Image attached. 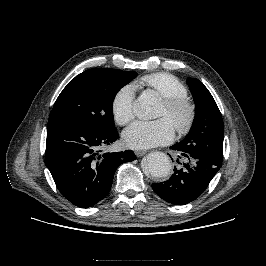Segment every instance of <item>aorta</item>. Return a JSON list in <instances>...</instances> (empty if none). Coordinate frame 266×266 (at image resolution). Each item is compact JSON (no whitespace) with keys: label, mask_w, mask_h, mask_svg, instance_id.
<instances>
[{"label":"aorta","mask_w":266,"mask_h":266,"mask_svg":"<svg viewBox=\"0 0 266 266\" xmlns=\"http://www.w3.org/2000/svg\"><path fill=\"white\" fill-rule=\"evenodd\" d=\"M158 99L150 92L142 93L133 106V112L139 119H151L156 115ZM145 167L153 177H167L171 170L169 157L159 151L152 152L145 158Z\"/></svg>","instance_id":"1"}]
</instances>
